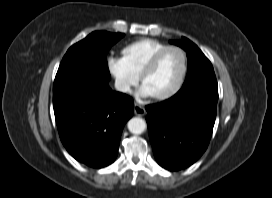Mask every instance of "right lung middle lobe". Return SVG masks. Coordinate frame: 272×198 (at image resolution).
Masks as SVG:
<instances>
[{"mask_svg": "<svg viewBox=\"0 0 272 198\" xmlns=\"http://www.w3.org/2000/svg\"><path fill=\"white\" fill-rule=\"evenodd\" d=\"M123 36L122 33L95 31L71 46L60 63L53 90L80 78L108 82L110 74L106 56L111 46Z\"/></svg>", "mask_w": 272, "mask_h": 198, "instance_id": "obj_1", "label": "right lung middle lobe"}]
</instances>
